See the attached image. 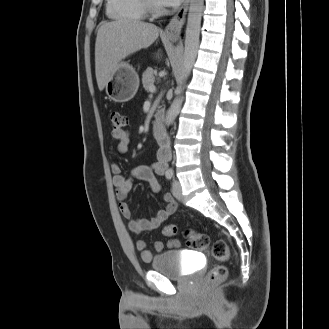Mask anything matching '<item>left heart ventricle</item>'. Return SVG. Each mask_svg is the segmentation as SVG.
I'll list each match as a JSON object with an SVG mask.
<instances>
[{
	"mask_svg": "<svg viewBox=\"0 0 329 329\" xmlns=\"http://www.w3.org/2000/svg\"><path fill=\"white\" fill-rule=\"evenodd\" d=\"M157 4L162 5L160 0H154Z\"/></svg>",
	"mask_w": 329,
	"mask_h": 329,
	"instance_id": "left-heart-ventricle-1",
	"label": "left heart ventricle"
}]
</instances>
